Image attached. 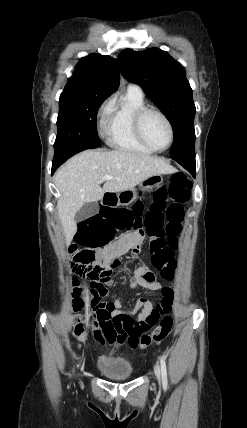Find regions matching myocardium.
Wrapping results in <instances>:
<instances>
[{"mask_svg": "<svg viewBox=\"0 0 247 428\" xmlns=\"http://www.w3.org/2000/svg\"><path fill=\"white\" fill-rule=\"evenodd\" d=\"M149 113H155L157 115H159L166 123L168 130H169V141L168 144L164 147V148H155L154 146H152L149 141L147 140V138L145 137L144 131H143V120L145 118V116ZM133 128H134V132L136 134V137L138 138V140L144 145L146 146L148 149H150L153 152H164L166 150H168L171 145L173 144L174 141V128L173 125L170 121V119L167 117V115L162 112L160 109L155 108V107H149V106H145L141 109H139L133 117Z\"/></svg>", "mask_w": 247, "mask_h": 428, "instance_id": "myocardium-1", "label": "myocardium"}]
</instances>
